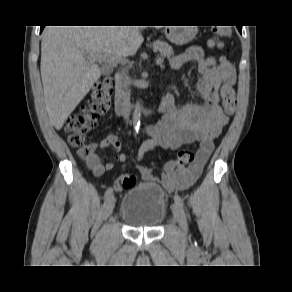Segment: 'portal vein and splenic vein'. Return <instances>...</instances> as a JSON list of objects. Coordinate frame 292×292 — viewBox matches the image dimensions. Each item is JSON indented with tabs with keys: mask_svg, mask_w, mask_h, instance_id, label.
I'll use <instances>...</instances> for the list:
<instances>
[{
	"mask_svg": "<svg viewBox=\"0 0 292 292\" xmlns=\"http://www.w3.org/2000/svg\"><path fill=\"white\" fill-rule=\"evenodd\" d=\"M88 57L90 59H93V60H98V61H101V62H114V59H112L111 57H109L108 55L106 54H100V53H96V54H89ZM157 65H160L162 66L163 64V58H159L157 59Z\"/></svg>",
	"mask_w": 292,
	"mask_h": 292,
	"instance_id": "portal-vein-and-splenic-vein-1",
	"label": "portal vein and splenic vein"
}]
</instances>
